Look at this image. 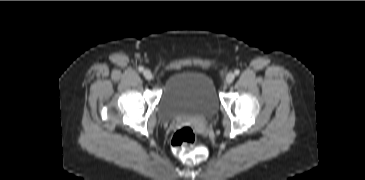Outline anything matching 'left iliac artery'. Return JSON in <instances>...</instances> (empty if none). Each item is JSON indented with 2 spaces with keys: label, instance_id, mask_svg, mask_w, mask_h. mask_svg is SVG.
I'll return each mask as SVG.
<instances>
[{
  "label": "left iliac artery",
  "instance_id": "1",
  "mask_svg": "<svg viewBox=\"0 0 365 180\" xmlns=\"http://www.w3.org/2000/svg\"><path fill=\"white\" fill-rule=\"evenodd\" d=\"M234 73H235V75H239L240 71H239L238 69H236V70L234 71Z\"/></svg>",
  "mask_w": 365,
  "mask_h": 180
}]
</instances>
